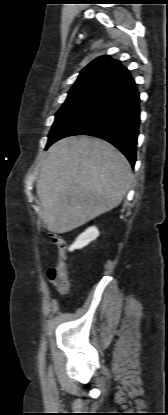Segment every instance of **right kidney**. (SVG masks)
<instances>
[{
    "mask_svg": "<svg viewBox=\"0 0 168 415\" xmlns=\"http://www.w3.org/2000/svg\"><path fill=\"white\" fill-rule=\"evenodd\" d=\"M98 236H99V231L95 226L88 228L76 238L75 242L69 247V251H73L75 249H81L87 246L91 241L95 240Z\"/></svg>",
    "mask_w": 168,
    "mask_h": 415,
    "instance_id": "1",
    "label": "right kidney"
}]
</instances>
